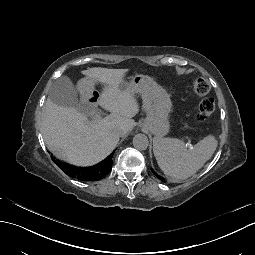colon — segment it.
<instances>
[{"mask_svg": "<svg viewBox=\"0 0 255 255\" xmlns=\"http://www.w3.org/2000/svg\"><path fill=\"white\" fill-rule=\"evenodd\" d=\"M193 91L199 96H205L210 91V84L206 79L196 78L192 83ZM215 109V102L211 98H206L201 101L198 107L197 118L205 120L209 118Z\"/></svg>", "mask_w": 255, "mask_h": 255, "instance_id": "1", "label": "colon"}]
</instances>
